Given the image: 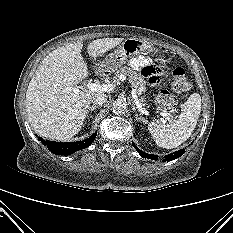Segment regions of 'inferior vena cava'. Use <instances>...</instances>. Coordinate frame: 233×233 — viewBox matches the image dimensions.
Segmentation results:
<instances>
[{
	"label": "inferior vena cava",
	"instance_id": "1",
	"mask_svg": "<svg viewBox=\"0 0 233 233\" xmlns=\"http://www.w3.org/2000/svg\"><path fill=\"white\" fill-rule=\"evenodd\" d=\"M91 101L94 105L101 106L107 101V96L103 93H100V94L93 96Z\"/></svg>",
	"mask_w": 233,
	"mask_h": 233
}]
</instances>
